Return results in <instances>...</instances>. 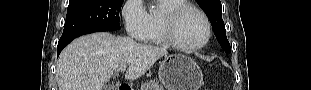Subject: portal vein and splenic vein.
Masks as SVG:
<instances>
[{"mask_svg": "<svg viewBox=\"0 0 311 90\" xmlns=\"http://www.w3.org/2000/svg\"><path fill=\"white\" fill-rule=\"evenodd\" d=\"M126 68H127V66H121V67L119 68V71H120V72H124V71H126Z\"/></svg>", "mask_w": 311, "mask_h": 90, "instance_id": "portal-vein-and-splenic-vein-1", "label": "portal vein and splenic vein"}]
</instances>
